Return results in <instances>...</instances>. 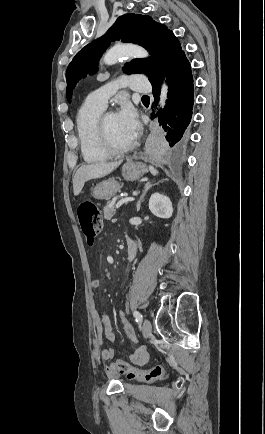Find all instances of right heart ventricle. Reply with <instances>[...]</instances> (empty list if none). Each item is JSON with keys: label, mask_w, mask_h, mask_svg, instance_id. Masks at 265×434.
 Returning a JSON list of instances; mask_svg holds the SVG:
<instances>
[{"label": "right heart ventricle", "mask_w": 265, "mask_h": 434, "mask_svg": "<svg viewBox=\"0 0 265 434\" xmlns=\"http://www.w3.org/2000/svg\"><path fill=\"white\" fill-rule=\"evenodd\" d=\"M104 110V104L90 103L89 98H86L76 113L79 148L82 158L87 164L99 165L110 158L102 146L99 128L100 118Z\"/></svg>", "instance_id": "1"}]
</instances>
